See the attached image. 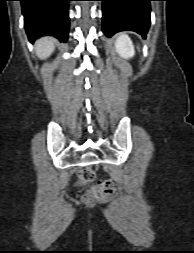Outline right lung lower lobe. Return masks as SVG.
<instances>
[{
	"label": "right lung lower lobe",
	"instance_id": "98d812e1",
	"mask_svg": "<svg viewBox=\"0 0 194 253\" xmlns=\"http://www.w3.org/2000/svg\"><path fill=\"white\" fill-rule=\"evenodd\" d=\"M24 26L30 41L52 35L66 41L69 30L68 2L70 0H19Z\"/></svg>",
	"mask_w": 194,
	"mask_h": 253
}]
</instances>
